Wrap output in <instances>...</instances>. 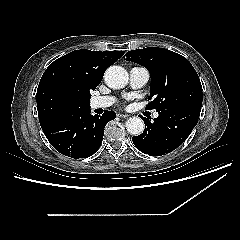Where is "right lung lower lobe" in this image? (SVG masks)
Returning <instances> with one entry per match:
<instances>
[{
  "label": "right lung lower lobe",
  "instance_id": "obj_1",
  "mask_svg": "<svg viewBox=\"0 0 240 240\" xmlns=\"http://www.w3.org/2000/svg\"><path fill=\"white\" fill-rule=\"evenodd\" d=\"M116 118L112 111L91 115L90 108L64 113L41 125L50 144L61 154L72 158L93 155L100 147L107 122Z\"/></svg>",
  "mask_w": 240,
  "mask_h": 240
}]
</instances>
